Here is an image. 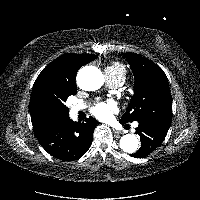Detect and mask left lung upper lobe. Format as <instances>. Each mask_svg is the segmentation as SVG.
Instances as JSON below:
<instances>
[{
    "mask_svg": "<svg viewBox=\"0 0 200 200\" xmlns=\"http://www.w3.org/2000/svg\"><path fill=\"white\" fill-rule=\"evenodd\" d=\"M135 77L134 95L121 122H154L170 126L172 97L163 70L140 54L124 53Z\"/></svg>",
    "mask_w": 200,
    "mask_h": 200,
    "instance_id": "1",
    "label": "left lung upper lobe"
}]
</instances>
